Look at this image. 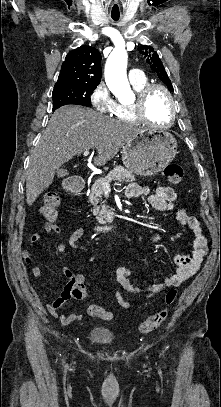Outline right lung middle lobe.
Returning <instances> with one entry per match:
<instances>
[{
  "label": "right lung middle lobe",
  "instance_id": "dd1d6c3e",
  "mask_svg": "<svg viewBox=\"0 0 221 407\" xmlns=\"http://www.w3.org/2000/svg\"><path fill=\"white\" fill-rule=\"evenodd\" d=\"M96 87L82 84L55 87L52 93L53 110L67 104L91 106L90 94Z\"/></svg>",
  "mask_w": 221,
  "mask_h": 407
}]
</instances>
